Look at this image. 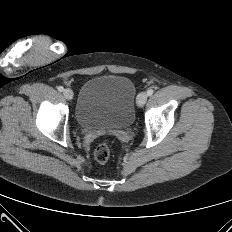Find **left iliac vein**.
Returning a JSON list of instances; mask_svg holds the SVG:
<instances>
[{"label":"left iliac vein","instance_id":"4c4485c4","mask_svg":"<svg viewBox=\"0 0 232 232\" xmlns=\"http://www.w3.org/2000/svg\"><path fill=\"white\" fill-rule=\"evenodd\" d=\"M146 101H147V94L145 92L139 93L136 99L137 106L143 107Z\"/></svg>","mask_w":232,"mask_h":232}]
</instances>
